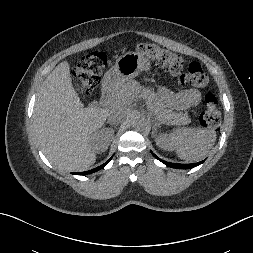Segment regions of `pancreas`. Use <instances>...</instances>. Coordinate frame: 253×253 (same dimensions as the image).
<instances>
[{"label": "pancreas", "mask_w": 253, "mask_h": 253, "mask_svg": "<svg viewBox=\"0 0 253 253\" xmlns=\"http://www.w3.org/2000/svg\"><path fill=\"white\" fill-rule=\"evenodd\" d=\"M138 93H141L142 96L146 98L148 106L163 123L171 125H186L191 122L187 113L172 112L159 100L153 91L146 88L142 89L136 81H129L117 87L112 93V100L116 104H128Z\"/></svg>", "instance_id": "pancreas-1"}]
</instances>
